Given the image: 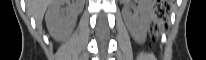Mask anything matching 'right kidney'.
<instances>
[{
	"label": "right kidney",
	"instance_id": "ca27d5eb",
	"mask_svg": "<svg viewBox=\"0 0 206 60\" xmlns=\"http://www.w3.org/2000/svg\"><path fill=\"white\" fill-rule=\"evenodd\" d=\"M80 12V2L70 0H56L50 4L46 13V24L49 32L58 39H62L70 32L77 14Z\"/></svg>",
	"mask_w": 206,
	"mask_h": 60
}]
</instances>
